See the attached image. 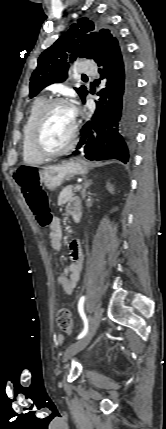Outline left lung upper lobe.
I'll use <instances>...</instances> for the list:
<instances>
[{
    "label": "left lung upper lobe",
    "instance_id": "5c2ea615",
    "mask_svg": "<svg viewBox=\"0 0 166 429\" xmlns=\"http://www.w3.org/2000/svg\"><path fill=\"white\" fill-rule=\"evenodd\" d=\"M113 40H117L116 34L109 29H100L87 18L80 19L78 24H72L70 30L38 58L37 68L30 78L29 96H36L52 83L63 82L67 78L70 62L78 57L94 59L98 43L109 45ZM75 90L84 101L88 94L85 86Z\"/></svg>",
    "mask_w": 166,
    "mask_h": 429
}]
</instances>
